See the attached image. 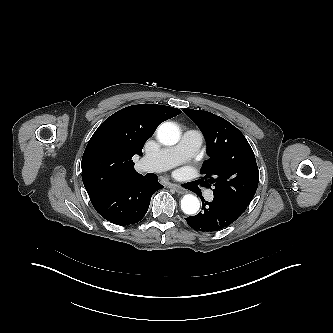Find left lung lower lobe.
Returning <instances> with one entry per match:
<instances>
[{"mask_svg": "<svg viewBox=\"0 0 333 333\" xmlns=\"http://www.w3.org/2000/svg\"><path fill=\"white\" fill-rule=\"evenodd\" d=\"M203 211L195 216L185 218L194 230L214 232L229 226L245 211L238 205L214 195L212 202L202 199Z\"/></svg>", "mask_w": 333, "mask_h": 333, "instance_id": "0a47b994", "label": "left lung lower lobe"}]
</instances>
